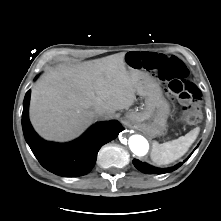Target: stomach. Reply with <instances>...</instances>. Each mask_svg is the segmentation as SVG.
<instances>
[{"mask_svg":"<svg viewBox=\"0 0 221 221\" xmlns=\"http://www.w3.org/2000/svg\"><path fill=\"white\" fill-rule=\"evenodd\" d=\"M129 56L128 53L125 62L130 73L139 74L137 93L145 98V104L141 111L131 110L125 117L134 127L142 130L149 137L160 136L166 131L170 105L163 96L159 83L150 76L141 73L137 68L132 67Z\"/></svg>","mask_w":221,"mask_h":221,"instance_id":"stomach-1","label":"stomach"}]
</instances>
